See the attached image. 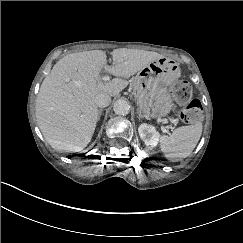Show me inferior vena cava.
<instances>
[{"label":"inferior vena cava","mask_w":243,"mask_h":243,"mask_svg":"<svg viewBox=\"0 0 243 243\" xmlns=\"http://www.w3.org/2000/svg\"><path fill=\"white\" fill-rule=\"evenodd\" d=\"M94 102L98 107L103 108L109 105V103L111 102V97L108 93L101 92L96 95Z\"/></svg>","instance_id":"obj_1"}]
</instances>
